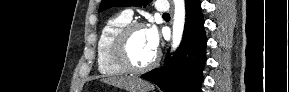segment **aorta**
I'll return each mask as SVG.
<instances>
[{
	"instance_id": "aorta-1",
	"label": "aorta",
	"mask_w": 289,
	"mask_h": 92,
	"mask_svg": "<svg viewBox=\"0 0 289 92\" xmlns=\"http://www.w3.org/2000/svg\"><path fill=\"white\" fill-rule=\"evenodd\" d=\"M172 49L175 50L182 40L185 24V2L184 0H174Z\"/></svg>"
}]
</instances>
